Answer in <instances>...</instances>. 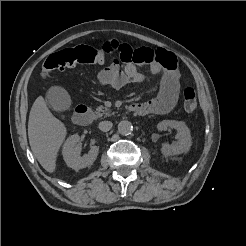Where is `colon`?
<instances>
[{
	"label": "colon",
	"mask_w": 246,
	"mask_h": 246,
	"mask_svg": "<svg viewBox=\"0 0 246 246\" xmlns=\"http://www.w3.org/2000/svg\"><path fill=\"white\" fill-rule=\"evenodd\" d=\"M104 53L102 50L87 45H78L73 48L51 54L43 63L42 74L44 77L58 69L74 67L78 64H102ZM197 97L193 88H186L183 92V107L188 113L197 109Z\"/></svg>",
	"instance_id": "colon-1"
}]
</instances>
